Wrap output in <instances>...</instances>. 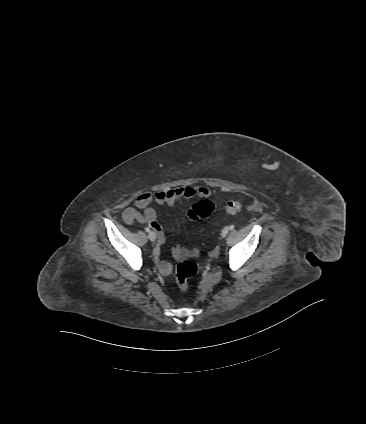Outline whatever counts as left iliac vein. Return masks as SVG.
Instances as JSON below:
<instances>
[{
	"label": "left iliac vein",
	"mask_w": 366,
	"mask_h": 424,
	"mask_svg": "<svg viewBox=\"0 0 366 424\" xmlns=\"http://www.w3.org/2000/svg\"><path fill=\"white\" fill-rule=\"evenodd\" d=\"M228 232H229V229H228L227 227H225V228L222 230V232H221V236H222V237H226V236H227V234H228Z\"/></svg>",
	"instance_id": "obj_1"
}]
</instances>
